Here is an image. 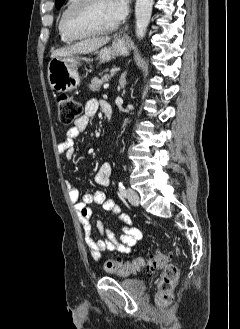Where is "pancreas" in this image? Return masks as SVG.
I'll list each match as a JSON object with an SVG mask.
<instances>
[{
  "label": "pancreas",
  "mask_w": 240,
  "mask_h": 329,
  "mask_svg": "<svg viewBox=\"0 0 240 329\" xmlns=\"http://www.w3.org/2000/svg\"><path fill=\"white\" fill-rule=\"evenodd\" d=\"M111 76L110 75H104L102 76L100 79L97 77H94L91 81V83L89 84V88L92 91H99L102 84L107 81Z\"/></svg>",
  "instance_id": "1"
}]
</instances>
